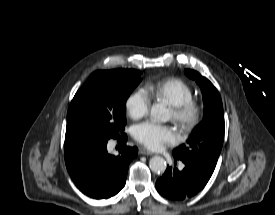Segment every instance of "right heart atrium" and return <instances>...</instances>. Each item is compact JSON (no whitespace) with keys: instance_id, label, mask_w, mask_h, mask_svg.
Masks as SVG:
<instances>
[{"instance_id":"obj_1","label":"right heart atrium","mask_w":275,"mask_h":215,"mask_svg":"<svg viewBox=\"0 0 275 215\" xmlns=\"http://www.w3.org/2000/svg\"><path fill=\"white\" fill-rule=\"evenodd\" d=\"M151 99L143 89H137L127 98L126 111L130 118L137 120L149 112Z\"/></svg>"}]
</instances>
